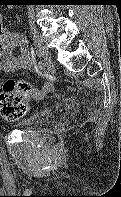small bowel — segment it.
<instances>
[{
	"label": "small bowel",
	"instance_id": "c3829d8e",
	"mask_svg": "<svg viewBox=\"0 0 121 197\" xmlns=\"http://www.w3.org/2000/svg\"><path fill=\"white\" fill-rule=\"evenodd\" d=\"M4 15L0 11V71L12 73L20 69L32 67V56L27 39L23 33L10 32L2 25ZM19 47L20 55H14V49ZM34 88V87H33ZM51 89L47 81L41 88H34L32 99H42Z\"/></svg>",
	"mask_w": 121,
	"mask_h": 197
}]
</instances>
